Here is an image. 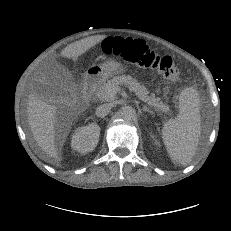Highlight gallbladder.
Segmentation results:
<instances>
[{"mask_svg": "<svg viewBox=\"0 0 231 231\" xmlns=\"http://www.w3.org/2000/svg\"><path fill=\"white\" fill-rule=\"evenodd\" d=\"M58 74L48 77V82L42 83L40 94L47 100H60L65 95L64 87L71 82L72 76L67 69L63 68L59 64H54Z\"/></svg>", "mask_w": 231, "mask_h": 231, "instance_id": "bac80fb5", "label": "gallbladder"}]
</instances>
